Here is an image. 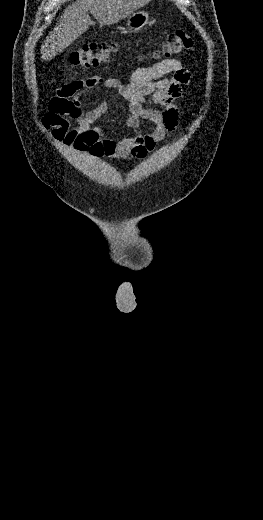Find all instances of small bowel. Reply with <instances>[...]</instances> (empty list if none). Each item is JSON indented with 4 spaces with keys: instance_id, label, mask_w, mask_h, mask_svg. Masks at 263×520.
I'll return each instance as SVG.
<instances>
[{
    "instance_id": "small-bowel-1",
    "label": "small bowel",
    "mask_w": 263,
    "mask_h": 520,
    "mask_svg": "<svg viewBox=\"0 0 263 520\" xmlns=\"http://www.w3.org/2000/svg\"><path fill=\"white\" fill-rule=\"evenodd\" d=\"M171 76H168L170 75ZM191 73L181 60L171 58L133 71L127 83L116 78L90 77L72 81L59 88L50 100L42 118L46 129L67 147L92 157L116 159L143 158L178 126L179 101H185L184 87L190 85ZM105 86L114 89L128 103L126 125L134 135L121 140L104 136L94 123L108 111L101 103L93 108L82 107L80 96L87 90ZM148 105H160L162 110ZM76 125L72 126L71 122ZM143 121L151 126L141 131Z\"/></svg>"
}]
</instances>
